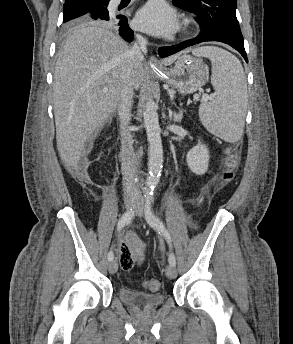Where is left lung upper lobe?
<instances>
[{
	"label": "left lung upper lobe",
	"mask_w": 293,
	"mask_h": 344,
	"mask_svg": "<svg viewBox=\"0 0 293 344\" xmlns=\"http://www.w3.org/2000/svg\"><path fill=\"white\" fill-rule=\"evenodd\" d=\"M182 9L195 13L202 31L223 33L243 42V36L236 17V0H172Z\"/></svg>",
	"instance_id": "obj_1"
}]
</instances>
